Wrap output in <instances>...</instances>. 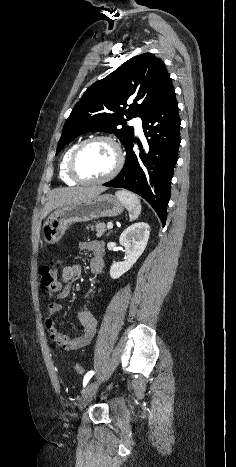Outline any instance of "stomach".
I'll list each match as a JSON object with an SVG mask.
<instances>
[{"label": "stomach", "mask_w": 236, "mask_h": 467, "mask_svg": "<svg viewBox=\"0 0 236 467\" xmlns=\"http://www.w3.org/2000/svg\"><path fill=\"white\" fill-rule=\"evenodd\" d=\"M123 211L124 204L112 194H103L90 200L64 205L55 210L44 223L43 241L48 245L55 244L71 224L117 216Z\"/></svg>", "instance_id": "1"}]
</instances>
